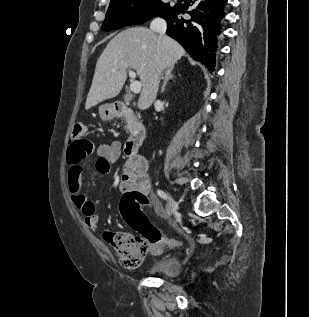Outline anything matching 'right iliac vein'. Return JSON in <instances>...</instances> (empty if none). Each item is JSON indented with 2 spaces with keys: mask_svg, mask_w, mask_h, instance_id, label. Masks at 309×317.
<instances>
[{
  "mask_svg": "<svg viewBox=\"0 0 309 317\" xmlns=\"http://www.w3.org/2000/svg\"><path fill=\"white\" fill-rule=\"evenodd\" d=\"M176 209H177L176 202L174 201L173 197L170 194H168L167 210H168L169 216H171Z\"/></svg>",
  "mask_w": 309,
  "mask_h": 317,
  "instance_id": "obj_1",
  "label": "right iliac vein"
}]
</instances>
